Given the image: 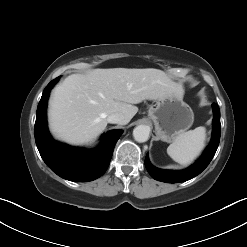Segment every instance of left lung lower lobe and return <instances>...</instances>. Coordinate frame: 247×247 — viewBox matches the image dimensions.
I'll return each mask as SVG.
<instances>
[{
    "label": "left lung lower lobe",
    "instance_id": "obj_1",
    "mask_svg": "<svg viewBox=\"0 0 247 247\" xmlns=\"http://www.w3.org/2000/svg\"><path fill=\"white\" fill-rule=\"evenodd\" d=\"M213 112L214 118L212 139L203 155L192 166L182 171L158 169L150 163L147 155L145 158V166L152 178L166 183L184 182L194 178L208 166L216 153L221 134L220 109L216 103H213Z\"/></svg>",
    "mask_w": 247,
    "mask_h": 247
}]
</instances>
